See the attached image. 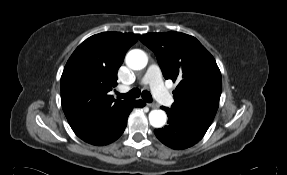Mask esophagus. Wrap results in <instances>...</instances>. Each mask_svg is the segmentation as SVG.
<instances>
[{"label": "esophagus", "instance_id": "esophagus-1", "mask_svg": "<svg viewBox=\"0 0 287 175\" xmlns=\"http://www.w3.org/2000/svg\"><path fill=\"white\" fill-rule=\"evenodd\" d=\"M147 105L153 109H156L159 107V105L157 103H147Z\"/></svg>", "mask_w": 287, "mask_h": 175}]
</instances>
